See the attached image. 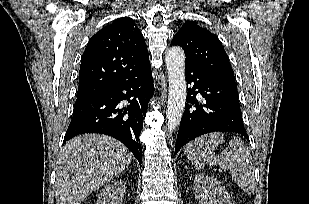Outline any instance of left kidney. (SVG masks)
<instances>
[{"instance_id":"left-kidney-1","label":"left kidney","mask_w":309,"mask_h":204,"mask_svg":"<svg viewBox=\"0 0 309 204\" xmlns=\"http://www.w3.org/2000/svg\"><path fill=\"white\" fill-rule=\"evenodd\" d=\"M194 183L198 204H234L218 179L205 174H196Z\"/></svg>"}]
</instances>
